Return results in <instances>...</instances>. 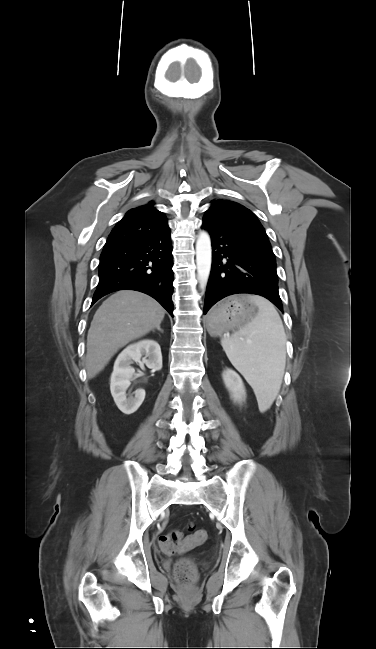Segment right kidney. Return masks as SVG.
<instances>
[{
  "instance_id": "ca27d5eb",
  "label": "right kidney",
  "mask_w": 376,
  "mask_h": 649,
  "mask_svg": "<svg viewBox=\"0 0 376 649\" xmlns=\"http://www.w3.org/2000/svg\"><path fill=\"white\" fill-rule=\"evenodd\" d=\"M142 356H144L142 358ZM142 362L152 370L162 368V354L159 344L152 339H144L127 346L117 357L113 372L111 374L110 390L117 407L124 414L134 413L142 404L145 398V390L138 389L134 396L126 394L130 386V378L135 370L130 365L135 362Z\"/></svg>"
}]
</instances>
